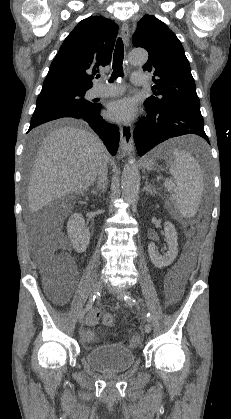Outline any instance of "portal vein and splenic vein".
<instances>
[{
  "instance_id": "18ae733b",
  "label": "portal vein and splenic vein",
  "mask_w": 231,
  "mask_h": 419,
  "mask_svg": "<svg viewBox=\"0 0 231 419\" xmlns=\"http://www.w3.org/2000/svg\"><path fill=\"white\" fill-rule=\"evenodd\" d=\"M166 186H167V189H171V184H168V183L166 182Z\"/></svg>"
}]
</instances>
